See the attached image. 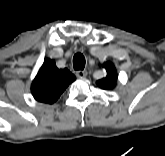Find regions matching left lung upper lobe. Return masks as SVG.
<instances>
[{"mask_svg": "<svg viewBox=\"0 0 165 156\" xmlns=\"http://www.w3.org/2000/svg\"><path fill=\"white\" fill-rule=\"evenodd\" d=\"M103 67L107 71V76L101 80L97 81V85L102 89H113L117 81V72L113 64L106 62Z\"/></svg>", "mask_w": 165, "mask_h": 156, "instance_id": "5c2ea615", "label": "left lung upper lobe"}]
</instances>
